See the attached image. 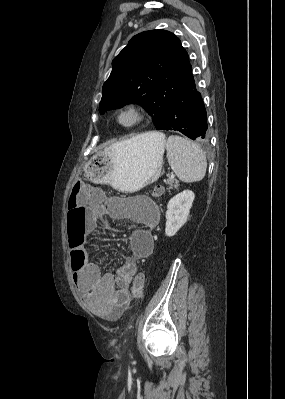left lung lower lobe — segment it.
Returning a JSON list of instances; mask_svg holds the SVG:
<instances>
[{
  "instance_id": "1",
  "label": "left lung lower lobe",
  "mask_w": 285,
  "mask_h": 399,
  "mask_svg": "<svg viewBox=\"0 0 285 399\" xmlns=\"http://www.w3.org/2000/svg\"><path fill=\"white\" fill-rule=\"evenodd\" d=\"M162 130L179 131L195 140H206L207 115L193 76L174 96Z\"/></svg>"
}]
</instances>
